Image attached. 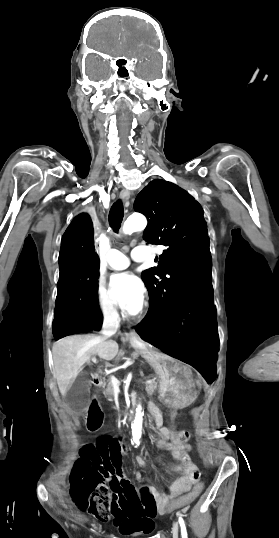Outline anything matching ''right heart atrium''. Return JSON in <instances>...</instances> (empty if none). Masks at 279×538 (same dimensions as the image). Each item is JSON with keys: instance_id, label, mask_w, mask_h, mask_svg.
Instances as JSON below:
<instances>
[{"instance_id": "d8ad5b80", "label": "right heart atrium", "mask_w": 279, "mask_h": 538, "mask_svg": "<svg viewBox=\"0 0 279 538\" xmlns=\"http://www.w3.org/2000/svg\"><path fill=\"white\" fill-rule=\"evenodd\" d=\"M94 227L97 226V223L93 222ZM97 312L99 316L104 321H110L118 317L119 309L117 302L112 297V295L104 287H99L97 290V302H96Z\"/></svg>"}]
</instances>
